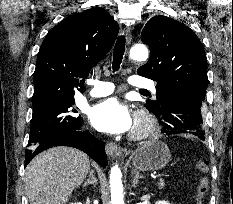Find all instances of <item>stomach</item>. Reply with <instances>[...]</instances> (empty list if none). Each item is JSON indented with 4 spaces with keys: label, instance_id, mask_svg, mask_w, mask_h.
<instances>
[{
    "label": "stomach",
    "instance_id": "obj_1",
    "mask_svg": "<svg viewBox=\"0 0 233 204\" xmlns=\"http://www.w3.org/2000/svg\"><path fill=\"white\" fill-rule=\"evenodd\" d=\"M170 151L165 143L150 140L140 145L132 156V164L141 171H157L166 166Z\"/></svg>",
    "mask_w": 233,
    "mask_h": 204
}]
</instances>
